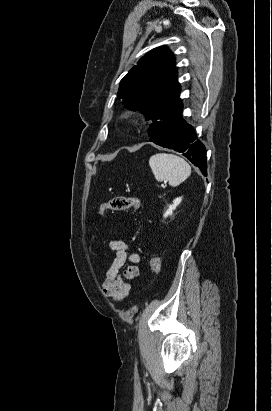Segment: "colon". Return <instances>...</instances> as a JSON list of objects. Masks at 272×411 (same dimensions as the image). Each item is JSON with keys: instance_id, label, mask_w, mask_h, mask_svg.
Returning <instances> with one entry per match:
<instances>
[{"instance_id": "obj_1", "label": "colon", "mask_w": 272, "mask_h": 411, "mask_svg": "<svg viewBox=\"0 0 272 411\" xmlns=\"http://www.w3.org/2000/svg\"><path fill=\"white\" fill-rule=\"evenodd\" d=\"M140 205L141 200L138 197L115 196L102 203L97 209V214L103 215L108 211H125L129 209H138ZM150 266L156 275H160L162 271V263L159 257L152 256L150 258Z\"/></svg>"}]
</instances>
